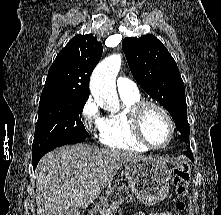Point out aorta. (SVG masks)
Masks as SVG:
<instances>
[{
  "label": "aorta",
  "instance_id": "1",
  "mask_svg": "<svg viewBox=\"0 0 221 215\" xmlns=\"http://www.w3.org/2000/svg\"><path fill=\"white\" fill-rule=\"evenodd\" d=\"M122 58L113 54L101 61L94 69L90 80V91L94 100L110 112L119 111V100L115 80Z\"/></svg>",
  "mask_w": 221,
  "mask_h": 215
}]
</instances>
